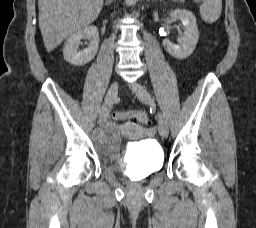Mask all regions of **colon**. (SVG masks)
<instances>
[{
    "mask_svg": "<svg viewBox=\"0 0 256 228\" xmlns=\"http://www.w3.org/2000/svg\"><path fill=\"white\" fill-rule=\"evenodd\" d=\"M113 119L115 121L132 120L145 125L149 124V118L142 110L116 111L113 113Z\"/></svg>",
    "mask_w": 256,
    "mask_h": 228,
    "instance_id": "1",
    "label": "colon"
}]
</instances>
